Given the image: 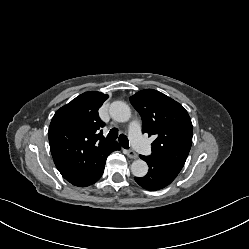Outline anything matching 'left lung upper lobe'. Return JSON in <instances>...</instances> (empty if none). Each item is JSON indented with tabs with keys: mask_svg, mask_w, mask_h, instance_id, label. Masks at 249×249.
Here are the masks:
<instances>
[{
	"mask_svg": "<svg viewBox=\"0 0 249 249\" xmlns=\"http://www.w3.org/2000/svg\"><path fill=\"white\" fill-rule=\"evenodd\" d=\"M142 118V131L156 139L149 157L157 165L179 173L192 144L193 126L187 111L163 93L146 89L130 97Z\"/></svg>",
	"mask_w": 249,
	"mask_h": 249,
	"instance_id": "obj_1",
	"label": "left lung upper lobe"
}]
</instances>
